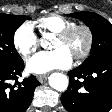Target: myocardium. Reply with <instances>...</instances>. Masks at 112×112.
<instances>
[{
	"label": "myocardium",
	"mask_w": 112,
	"mask_h": 112,
	"mask_svg": "<svg viewBox=\"0 0 112 112\" xmlns=\"http://www.w3.org/2000/svg\"><path fill=\"white\" fill-rule=\"evenodd\" d=\"M78 31H83L86 36V44L84 49L74 56L77 61L85 59L91 52L94 43V34L90 26L86 24H75L63 31L55 34L61 40H67Z\"/></svg>",
	"instance_id": "myocardium-1"
}]
</instances>
